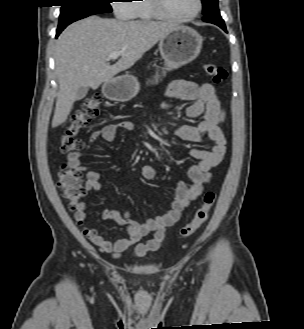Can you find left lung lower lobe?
<instances>
[{"label":"left lung lower lobe","instance_id":"obj_1","mask_svg":"<svg viewBox=\"0 0 304 329\" xmlns=\"http://www.w3.org/2000/svg\"><path fill=\"white\" fill-rule=\"evenodd\" d=\"M203 21L216 24L220 28H222L225 32L227 31L226 27H225L224 20L220 16L218 6H214L211 9H209L207 12H205L204 17H203Z\"/></svg>","mask_w":304,"mask_h":329}]
</instances>
